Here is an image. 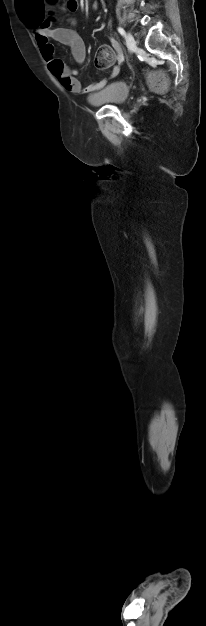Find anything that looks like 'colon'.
I'll return each instance as SVG.
<instances>
[{
    "label": "colon",
    "mask_w": 206,
    "mask_h": 626,
    "mask_svg": "<svg viewBox=\"0 0 206 626\" xmlns=\"http://www.w3.org/2000/svg\"><path fill=\"white\" fill-rule=\"evenodd\" d=\"M28 24H32L27 18ZM116 58L115 51L109 45H103L99 48L95 58V65L101 70L109 68ZM147 80L152 89L158 92L166 90L168 81L166 76L162 72H149L147 73Z\"/></svg>",
    "instance_id": "obj_1"
}]
</instances>
